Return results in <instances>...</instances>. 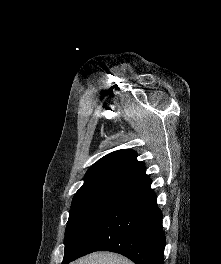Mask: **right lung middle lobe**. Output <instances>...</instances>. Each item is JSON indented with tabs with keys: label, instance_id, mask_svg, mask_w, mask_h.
<instances>
[{
	"label": "right lung middle lobe",
	"instance_id": "right-lung-middle-lobe-1",
	"mask_svg": "<svg viewBox=\"0 0 221 264\" xmlns=\"http://www.w3.org/2000/svg\"><path fill=\"white\" fill-rule=\"evenodd\" d=\"M125 188L102 187L74 195L65 231L64 260L76 254Z\"/></svg>",
	"mask_w": 221,
	"mask_h": 264
}]
</instances>
